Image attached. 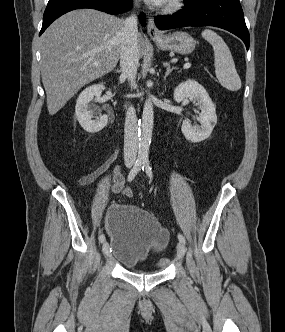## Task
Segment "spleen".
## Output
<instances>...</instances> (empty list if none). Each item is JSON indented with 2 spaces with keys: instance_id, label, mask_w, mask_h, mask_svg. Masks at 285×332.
<instances>
[{
  "instance_id": "spleen-1",
  "label": "spleen",
  "mask_w": 285,
  "mask_h": 332,
  "mask_svg": "<svg viewBox=\"0 0 285 332\" xmlns=\"http://www.w3.org/2000/svg\"><path fill=\"white\" fill-rule=\"evenodd\" d=\"M201 35L213 47L215 74L219 83L230 91L239 90L241 80L235 69L231 52L224 40L209 29L202 31Z\"/></svg>"
}]
</instances>
